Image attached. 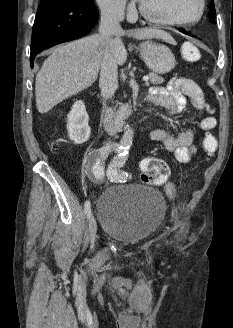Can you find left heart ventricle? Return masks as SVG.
<instances>
[{"mask_svg": "<svg viewBox=\"0 0 233 328\" xmlns=\"http://www.w3.org/2000/svg\"><path fill=\"white\" fill-rule=\"evenodd\" d=\"M152 15L177 21H190L199 12V0H140Z\"/></svg>", "mask_w": 233, "mask_h": 328, "instance_id": "1", "label": "left heart ventricle"}]
</instances>
